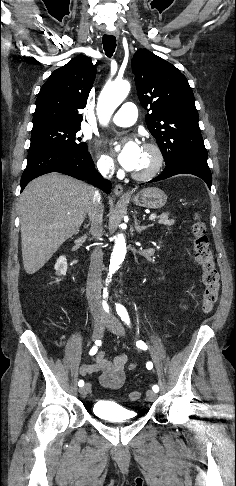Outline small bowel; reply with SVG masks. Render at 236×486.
<instances>
[{
    "mask_svg": "<svg viewBox=\"0 0 236 486\" xmlns=\"http://www.w3.org/2000/svg\"><path fill=\"white\" fill-rule=\"evenodd\" d=\"M134 364L128 363L126 354H120L111 360L100 352L96 356L93 364H84L80 367L81 375L85 376L91 373H100V383L111 389L120 388L126 377L128 370L132 369Z\"/></svg>",
    "mask_w": 236,
    "mask_h": 486,
    "instance_id": "obj_1",
    "label": "small bowel"
}]
</instances>
